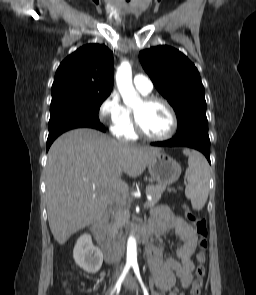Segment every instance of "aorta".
I'll list each match as a JSON object with an SVG mask.
<instances>
[{
    "instance_id": "obj_1",
    "label": "aorta",
    "mask_w": 256,
    "mask_h": 295,
    "mask_svg": "<svg viewBox=\"0 0 256 295\" xmlns=\"http://www.w3.org/2000/svg\"><path fill=\"white\" fill-rule=\"evenodd\" d=\"M116 83L125 105L133 106L140 101V96L132 83V68L129 62H122L117 69ZM136 260L137 243L135 237L131 235L127 241V262Z\"/></svg>"
}]
</instances>
